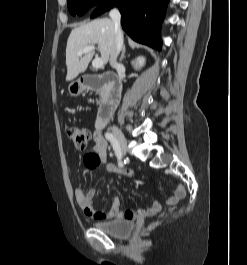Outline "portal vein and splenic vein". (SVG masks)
Segmentation results:
<instances>
[{
  "label": "portal vein and splenic vein",
  "mask_w": 247,
  "mask_h": 265,
  "mask_svg": "<svg viewBox=\"0 0 247 265\" xmlns=\"http://www.w3.org/2000/svg\"><path fill=\"white\" fill-rule=\"evenodd\" d=\"M95 50V47L94 46H87L85 48H83L81 51L78 52V55L79 56H82L83 54L89 52V51H93ZM92 66L95 68V69H99V68H102L103 67V60L101 58H95L92 62Z\"/></svg>",
  "instance_id": "1"
}]
</instances>
